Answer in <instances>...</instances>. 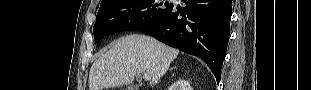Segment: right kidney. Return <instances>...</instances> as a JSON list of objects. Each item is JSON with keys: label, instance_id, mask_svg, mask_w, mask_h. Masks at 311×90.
<instances>
[{"label": "right kidney", "instance_id": "1", "mask_svg": "<svg viewBox=\"0 0 311 90\" xmlns=\"http://www.w3.org/2000/svg\"><path fill=\"white\" fill-rule=\"evenodd\" d=\"M176 87L180 90H192L189 82H187L186 80H180L179 82H177Z\"/></svg>", "mask_w": 311, "mask_h": 90}]
</instances>
